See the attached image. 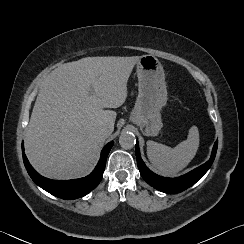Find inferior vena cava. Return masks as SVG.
<instances>
[{
	"label": "inferior vena cava",
	"mask_w": 244,
	"mask_h": 244,
	"mask_svg": "<svg viewBox=\"0 0 244 244\" xmlns=\"http://www.w3.org/2000/svg\"><path fill=\"white\" fill-rule=\"evenodd\" d=\"M99 131L102 135L108 137L112 133L113 129L108 124H103L99 127Z\"/></svg>",
	"instance_id": "inferior-vena-cava-1"
}]
</instances>
